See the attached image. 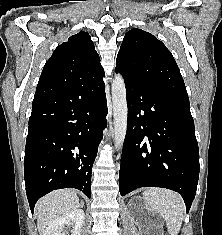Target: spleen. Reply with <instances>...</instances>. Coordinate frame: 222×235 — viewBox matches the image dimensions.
Wrapping results in <instances>:
<instances>
[{
  "mask_svg": "<svg viewBox=\"0 0 222 235\" xmlns=\"http://www.w3.org/2000/svg\"><path fill=\"white\" fill-rule=\"evenodd\" d=\"M143 197L145 202L165 220L168 232L177 235L186 212L180 194L163 188H149L143 192Z\"/></svg>",
  "mask_w": 222,
  "mask_h": 235,
  "instance_id": "1",
  "label": "spleen"
}]
</instances>
